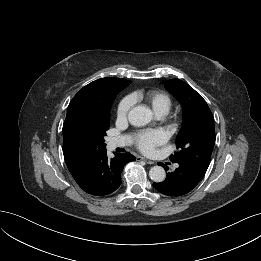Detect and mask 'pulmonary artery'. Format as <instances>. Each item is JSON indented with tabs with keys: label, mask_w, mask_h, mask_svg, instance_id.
Instances as JSON below:
<instances>
[{
	"label": "pulmonary artery",
	"mask_w": 261,
	"mask_h": 261,
	"mask_svg": "<svg viewBox=\"0 0 261 261\" xmlns=\"http://www.w3.org/2000/svg\"><path fill=\"white\" fill-rule=\"evenodd\" d=\"M128 143V140L126 138H117V139H112L109 141V148L114 149L117 147L124 146Z\"/></svg>",
	"instance_id": "1"
}]
</instances>
